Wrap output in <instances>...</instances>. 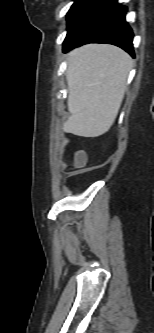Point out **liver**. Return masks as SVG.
Wrapping results in <instances>:
<instances>
[{
	"instance_id": "liver-1",
	"label": "liver",
	"mask_w": 154,
	"mask_h": 333,
	"mask_svg": "<svg viewBox=\"0 0 154 333\" xmlns=\"http://www.w3.org/2000/svg\"><path fill=\"white\" fill-rule=\"evenodd\" d=\"M68 62L70 116L63 131L82 137L101 136L117 117L133 61L116 46L89 44L71 51Z\"/></svg>"
}]
</instances>
